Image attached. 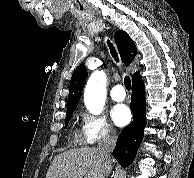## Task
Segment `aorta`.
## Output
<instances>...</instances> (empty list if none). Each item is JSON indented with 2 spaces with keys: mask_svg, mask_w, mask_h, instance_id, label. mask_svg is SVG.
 I'll use <instances>...</instances> for the list:
<instances>
[{
  "mask_svg": "<svg viewBox=\"0 0 194 178\" xmlns=\"http://www.w3.org/2000/svg\"><path fill=\"white\" fill-rule=\"evenodd\" d=\"M106 100V74L104 71H94L90 76L84 92L86 108L93 114H100Z\"/></svg>",
  "mask_w": 194,
  "mask_h": 178,
  "instance_id": "aorta-1",
  "label": "aorta"
}]
</instances>
